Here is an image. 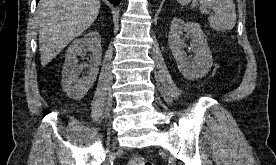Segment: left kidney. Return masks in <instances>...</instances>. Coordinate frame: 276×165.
Masks as SVG:
<instances>
[{"label":"left kidney","instance_id":"left-kidney-1","mask_svg":"<svg viewBox=\"0 0 276 165\" xmlns=\"http://www.w3.org/2000/svg\"><path fill=\"white\" fill-rule=\"evenodd\" d=\"M182 31L191 34V48L195 53L193 59H187L183 49L186 47L180 38ZM168 44L177 62L180 73L187 79L203 78L213 66L211 51L208 47L206 35L196 22H184L180 18H173L170 26Z\"/></svg>","mask_w":276,"mask_h":165}]
</instances>
